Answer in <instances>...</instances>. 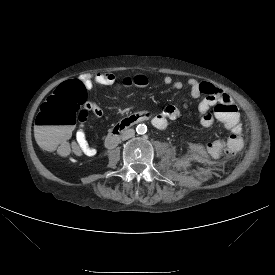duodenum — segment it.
<instances>
[{
    "label": "duodenum",
    "instance_id": "410a0bca",
    "mask_svg": "<svg viewBox=\"0 0 275 275\" xmlns=\"http://www.w3.org/2000/svg\"><path fill=\"white\" fill-rule=\"evenodd\" d=\"M146 120L145 113H137L117 122L107 135L105 139V146L107 148L115 147L118 144L121 134L125 129Z\"/></svg>",
    "mask_w": 275,
    "mask_h": 275
}]
</instances>
